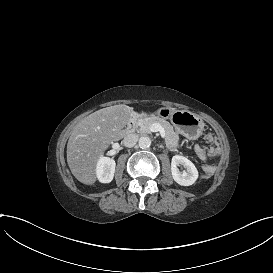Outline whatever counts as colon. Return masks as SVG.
Segmentation results:
<instances>
[{"label": "colon", "mask_w": 273, "mask_h": 273, "mask_svg": "<svg viewBox=\"0 0 273 273\" xmlns=\"http://www.w3.org/2000/svg\"><path fill=\"white\" fill-rule=\"evenodd\" d=\"M213 171H214V167L213 166H211V165H206L205 166V172H206L207 175L212 174Z\"/></svg>", "instance_id": "colon-1"}]
</instances>
